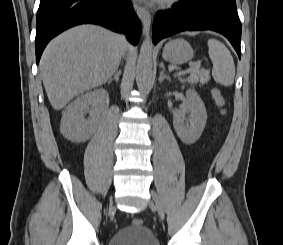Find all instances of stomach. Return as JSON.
Listing matches in <instances>:
<instances>
[{
	"label": "stomach",
	"instance_id": "stomach-1",
	"mask_svg": "<svg viewBox=\"0 0 283 245\" xmlns=\"http://www.w3.org/2000/svg\"><path fill=\"white\" fill-rule=\"evenodd\" d=\"M163 58L173 64H183L193 57L191 45L184 39L169 41L163 49Z\"/></svg>",
	"mask_w": 283,
	"mask_h": 245
}]
</instances>
